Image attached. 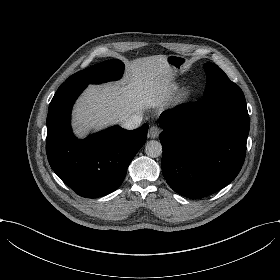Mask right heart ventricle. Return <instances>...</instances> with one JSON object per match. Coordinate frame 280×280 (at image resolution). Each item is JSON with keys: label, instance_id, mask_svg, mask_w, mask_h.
Wrapping results in <instances>:
<instances>
[{"label": "right heart ventricle", "instance_id": "obj_1", "mask_svg": "<svg viewBox=\"0 0 280 280\" xmlns=\"http://www.w3.org/2000/svg\"><path fill=\"white\" fill-rule=\"evenodd\" d=\"M181 85L179 82H174L168 86V96L173 95L176 91L180 89Z\"/></svg>", "mask_w": 280, "mask_h": 280}]
</instances>
